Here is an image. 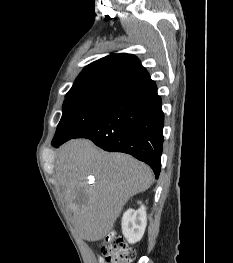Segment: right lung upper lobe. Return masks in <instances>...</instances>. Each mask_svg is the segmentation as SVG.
<instances>
[{
    "label": "right lung upper lobe",
    "mask_w": 233,
    "mask_h": 263,
    "mask_svg": "<svg viewBox=\"0 0 233 263\" xmlns=\"http://www.w3.org/2000/svg\"><path fill=\"white\" fill-rule=\"evenodd\" d=\"M151 80L132 54H110L84 68L67 95L108 93L119 95Z\"/></svg>",
    "instance_id": "cb5924a9"
}]
</instances>
